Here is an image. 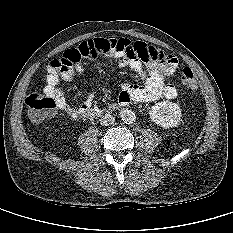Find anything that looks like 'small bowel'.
Listing matches in <instances>:
<instances>
[{
  "instance_id": "obj_1",
  "label": "small bowel",
  "mask_w": 233,
  "mask_h": 233,
  "mask_svg": "<svg viewBox=\"0 0 233 233\" xmlns=\"http://www.w3.org/2000/svg\"><path fill=\"white\" fill-rule=\"evenodd\" d=\"M123 41L125 49L112 52L110 55L120 58V67H130L137 72L144 85L137 86L124 83L119 94L120 104L153 102L160 98L174 99L178 94L177 89L174 85L167 83L166 78L176 71L178 67L177 58L172 54L162 52L153 45L124 39ZM51 60L46 63L45 91L53 93L57 101V107L74 119L88 118L92 110L94 95L89 94L80 106H73L66 101L63 91L59 87L60 82H71L77 74L83 72V68L77 66L60 73L50 65Z\"/></svg>"
}]
</instances>
